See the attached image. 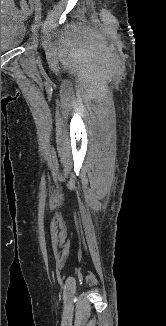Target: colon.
Here are the masks:
<instances>
[{"label": "colon", "mask_w": 166, "mask_h": 326, "mask_svg": "<svg viewBox=\"0 0 166 326\" xmlns=\"http://www.w3.org/2000/svg\"><path fill=\"white\" fill-rule=\"evenodd\" d=\"M20 10L26 14L30 10V4L26 0H21L19 3Z\"/></svg>", "instance_id": "1"}]
</instances>
